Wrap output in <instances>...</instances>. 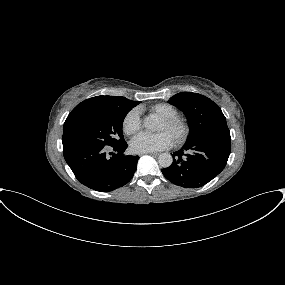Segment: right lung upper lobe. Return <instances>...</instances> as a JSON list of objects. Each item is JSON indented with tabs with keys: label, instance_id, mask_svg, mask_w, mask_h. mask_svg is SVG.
<instances>
[{
	"label": "right lung upper lobe",
	"instance_id": "obj_1",
	"mask_svg": "<svg viewBox=\"0 0 285 285\" xmlns=\"http://www.w3.org/2000/svg\"><path fill=\"white\" fill-rule=\"evenodd\" d=\"M136 105L137 101H131L121 96H96L89 98L78 104L70 112L64 123V131L87 114L113 108H133Z\"/></svg>",
	"mask_w": 285,
	"mask_h": 285
}]
</instances>
